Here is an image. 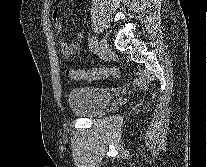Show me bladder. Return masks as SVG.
<instances>
[{"label": "bladder", "instance_id": "bladder-1", "mask_svg": "<svg viewBox=\"0 0 207 167\" xmlns=\"http://www.w3.org/2000/svg\"><path fill=\"white\" fill-rule=\"evenodd\" d=\"M112 97V93L105 88L79 86L70 90L68 105L75 116L92 119L107 108Z\"/></svg>", "mask_w": 207, "mask_h": 167}]
</instances>
